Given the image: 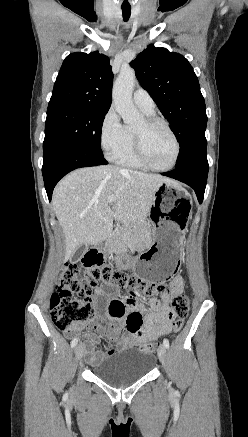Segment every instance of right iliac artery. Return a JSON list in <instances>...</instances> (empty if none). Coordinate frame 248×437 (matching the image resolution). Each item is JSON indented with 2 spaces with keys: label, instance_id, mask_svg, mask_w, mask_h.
<instances>
[{
  "label": "right iliac artery",
  "instance_id": "obj_1",
  "mask_svg": "<svg viewBox=\"0 0 248 437\" xmlns=\"http://www.w3.org/2000/svg\"><path fill=\"white\" fill-rule=\"evenodd\" d=\"M78 343V338H74L71 342V347L74 348Z\"/></svg>",
  "mask_w": 248,
  "mask_h": 437
}]
</instances>
